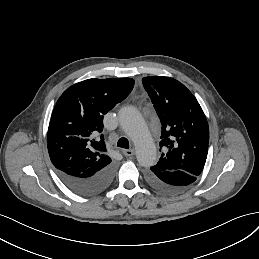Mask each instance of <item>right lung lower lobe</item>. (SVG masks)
Wrapping results in <instances>:
<instances>
[{"instance_id":"obj_1","label":"right lung lower lobe","mask_w":259,"mask_h":259,"mask_svg":"<svg viewBox=\"0 0 259 259\" xmlns=\"http://www.w3.org/2000/svg\"><path fill=\"white\" fill-rule=\"evenodd\" d=\"M63 183L75 193L81 195H94L106 190L112 182L115 165L110 163L102 170L89 177H77L57 170Z\"/></svg>"}]
</instances>
